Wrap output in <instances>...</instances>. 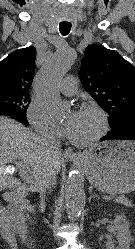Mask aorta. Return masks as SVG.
Instances as JSON below:
<instances>
[{"instance_id": "1", "label": "aorta", "mask_w": 135, "mask_h": 249, "mask_svg": "<svg viewBox=\"0 0 135 249\" xmlns=\"http://www.w3.org/2000/svg\"><path fill=\"white\" fill-rule=\"evenodd\" d=\"M76 53L63 47L43 66L36 79V94L46 110L53 115H61L63 104L58 85L71 68ZM65 202L67 215L71 220L78 218L84 206V177L73 168L65 182Z\"/></svg>"}]
</instances>
